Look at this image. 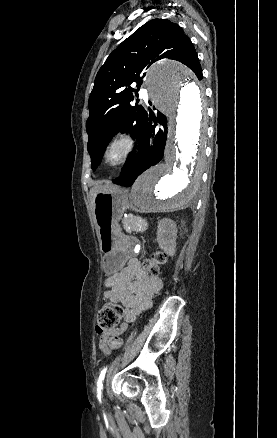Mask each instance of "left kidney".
<instances>
[{"instance_id":"5707ae66","label":"left kidney","mask_w":277,"mask_h":438,"mask_svg":"<svg viewBox=\"0 0 277 438\" xmlns=\"http://www.w3.org/2000/svg\"><path fill=\"white\" fill-rule=\"evenodd\" d=\"M165 226H169V230H166ZM157 228V242L161 250H165L168 256H175L177 226L174 220L163 218L158 222Z\"/></svg>"}]
</instances>
